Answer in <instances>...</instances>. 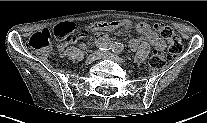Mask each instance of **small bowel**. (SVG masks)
I'll list each match as a JSON object with an SVG mask.
<instances>
[{"label":"small bowel","instance_id":"small-bowel-1","mask_svg":"<svg viewBox=\"0 0 207 123\" xmlns=\"http://www.w3.org/2000/svg\"><path fill=\"white\" fill-rule=\"evenodd\" d=\"M123 28L126 30L135 29L142 36L130 39L129 47L132 50H136L140 46H145L149 43L154 47L155 50H162L165 46L163 39L151 28L146 22L136 23L134 20H122V21H111V22H95L87 28L81 30V37H85L89 32H97L99 35L96 38V43L102 44L108 41V36L104 32L114 31L116 29ZM77 38L67 43H59L58 48L62 54L65 53V49L68 44L75 43Z\"/></svg>","mask_w":207,"mask_h":123}]
</instances>
